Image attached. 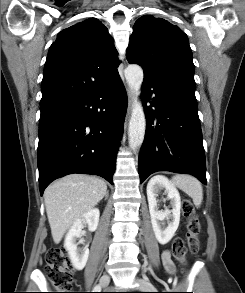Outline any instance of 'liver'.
Masks as SVG:
<instances>
[{"instance_id":"1","label":"liver","mask_w":245,"mask_h":293,"mask_svg":"<svg viewBox=\"0 0 245 293\" xmlns=\"http://www.w3.org/2000/svg\"><path fill=\"white\" fill-rule=\"evenodd\" d=\"M106 183L97 177L72 174L55 181L44 192L53 241L58 244L68 228L106 195Z\"/></svg>"}]
</instances>
